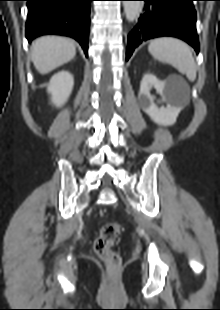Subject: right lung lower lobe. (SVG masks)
<instances>
[{
	"label": "right lung lower lobe",
	"mask_w": 220,
	"mask_h": 310,
	"mask_svg": "<svg viewBox=\"0 0 220 310\" xmlns=\"http://www.w3.org/2000/svg\"><path fill=\"white\" fill-rule=\"evenodd\" d=\"M26 37L29 42L45 34L74 38L88 56L89 14L93 0H26Z\"/></svg>",
	"instance_id": "1"
}]
</instances>
